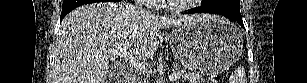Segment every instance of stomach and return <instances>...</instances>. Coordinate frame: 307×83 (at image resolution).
Masks as SVG:
<instances>
[{
	"mask_svg": "<svg viewBox=\"0 0 307 83\" xmlns=\"http://www.w3.org/2000/svg\"><path fill=\"white\" fill-rule=\"evenodd\" d=\"M171 49L192 72L215 75L228 69L243 51L239 29L224 19L183 24L170 36Z\"/></svg>",
	"mask_w": 307,
	"mask_h": 83,
	"instance_id": "obj_1",
	"label": "stomach"
}]
</instances>
